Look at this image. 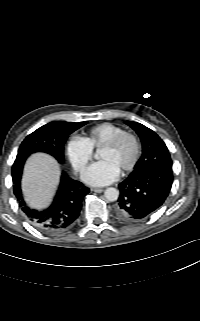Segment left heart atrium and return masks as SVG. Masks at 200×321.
<instances>
[{
    "instance_id": "obj_1",
    "label": "left heart atrium",
    "mask_w": 200,
    "mask_h": 321,
    "mask_svg": "<svg viewBox=\"0 0 200 321\" xmlns=\"http://www.w3.org/2000/svg\"><path fill=\"white\" fill-rule=\"evenodd\" d=\"M119 174L120 171L110 161L100 160L84 170L82 179L89 185L103 186L114 182Z\"/></svg>"
}]
</instances>
